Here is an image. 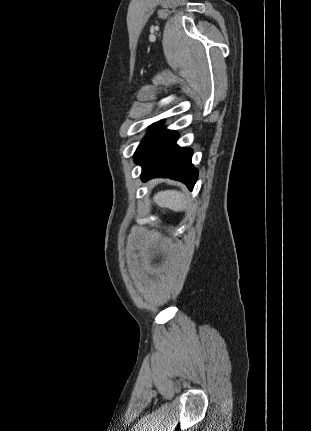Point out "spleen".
<instances>
[{
    "instance_id": "spleen-1",
    "label": "spleen",
    "mask_w": 311,
    "mask_h": 431,
    "mask_svg": "<svg viewBox=\"0 0 311 431\" xmlns=\"http://www.w3.org/2000/svg\"><path fill=\"white\" fill-rule=\"evenodd\" d=\"M155 204L160 208H169L174 212H183L189 204V198L176 190H166V192H158L153 198Z\"/></svg>"
}]
</instances>
